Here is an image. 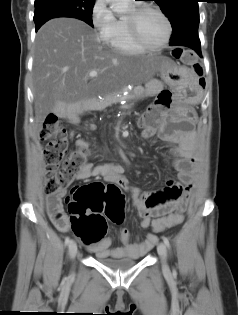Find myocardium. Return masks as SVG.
<instances>
[{
    "label": "myocardium",
    "mask_w": 238,
    "mask_h": 315,
    "mask_svg": "<svg viewBox=\"0 0 238 315\" xmlns=\"http://www.w3.org/2000/svg\"><path fill=\"white\" fill-rule=\"evenodd\" d=\"M152 11L157 13L165 22L166 25V37L165 39L158 45H149L144 42L140 36L139 29H138V21L142 14L145 12ZM127 25L128 31L131 37V40L141 49L145 51H157L164 48L170 41L172 36V24L167 17V15L158 7L152 5H138L135 6L130 13L127 15Z\"/></svg>",
    "instance_id": "f54148a6"
}]
</instances>
